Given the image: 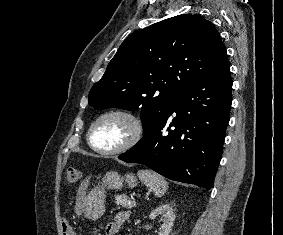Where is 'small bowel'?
Listing matches in <instances>:
<instances>
[{
    "label": "small bowel",
    "mask_w": 283,
    "mask_h": 235,
    "mask_svg": "<svg viewBox=\"0 0 283 235\" xmlns=\"http://www.w3.org/2000/svg\"><path fill=\"white\" fill-rule=\"evenodd\" d=\"M130 214L127 211H122L117 213L114 216L113 221L108 223L105 227V235H117L122 227V225L128 220ZM68 225V224H67ZM63 227H66V224H63ZM71 235H76L71 233Z\"/></svg>",
    "instance_id": "1"
}]
</instances>
